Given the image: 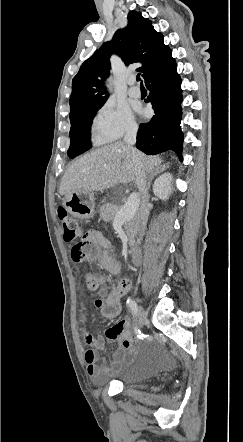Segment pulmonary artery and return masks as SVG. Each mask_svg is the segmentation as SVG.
<instances>
[{"mask_svg":"<svg viewBox=\"0 0 243 442\" xmlns=\"http://www.w3.org/2000/svg\"><path fill=\"white\" fill-rule=\"evenodd\" d=\"M129 85V95L133 98H139L141 96V90L139 87L136 86L135 78H131L129 80Z\"/></svg>","mask_w":243,"mask_h":442,"instance_id":"1","label":"pulmonary artery"}]
</instances>
